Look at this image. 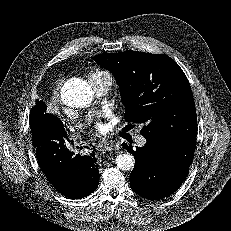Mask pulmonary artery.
<instances>
[{
    "label": "pulmonary artery",
    "instance_id": "pulmonary-artery-1",
    "mask_svg": "<svg viewBox=\"0 0 231 231\" xmlns=\"http://www.w3.org/2000/svg\"><path fill=\"white\" fill-rule=\"evenodd\" d=\"M91 83L98 96H103L107 94L112 85V81L110 79L93 80L91 81ZM136 142L139 145H143L145 142V139L141 135H138L136 137Z\"/></svg>",
    "mask_w": 231,
    "mask_h": 231
}]
</instances>
